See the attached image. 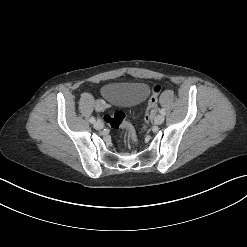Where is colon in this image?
Returning <instances> with one entry per match:
<instances>
[{
  "label": "colon",
  "mask_w": 247,
  "mask_h": 247,
  "mask_svg": "<svg viewBox=\"0 0 247 247\" xmlns=\"http://www.w3.org/2000/svg\"><path fill=\"white\" fill-rule=\"evenodd\" d=\"M160 90L161 88L159 85H155L151 88V96L147 106L146 120H145V124L142 127V131H145L147 128L149 114L156 106L157 98ZM104 121L107 125H109L112 128L124 129L127 132L131 141L135 142L137 140L136 131L134 130L132 125L126 121L125 114L123 112L118 111L113 114L105 115Z\"/></svg>",
  "instance_id": "1"
}]
</instances>
